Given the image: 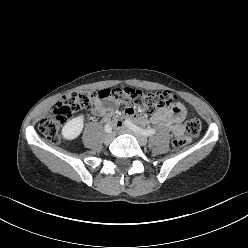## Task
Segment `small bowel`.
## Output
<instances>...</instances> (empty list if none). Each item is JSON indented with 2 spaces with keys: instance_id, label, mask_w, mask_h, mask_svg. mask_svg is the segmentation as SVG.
<instances>
[{
  "instance_id": "obj_1",
  "label": "small bowel",
  "mask_w": 248,
  "mask_h": 248,
  "mask_svg": "<svg viewBox=\"0 0 248 248\" xmlns=\"http://www.w3.org/2000/svg\"><path fill=\"white\" fill-rule=\"evenodd\" d=\"M115 104L112 100L104 98H97L94 101L93 113L101 118H104L108 123L115 127H120L122 122L115 116ZM124 114L133 120H137L143 123L163 124L168 131L174 136H181L184 133L182 121L185 118L186 110L181 103H175L169 107L160 108L149 119L138 117L134 110L125 108Z\"/></svg>"
}]
</instances>
